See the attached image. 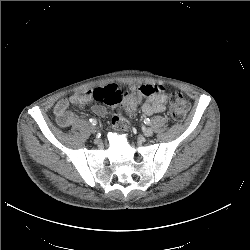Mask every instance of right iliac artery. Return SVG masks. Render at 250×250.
<instances>
[{
    "label": "right iliac artery",
    "mask_w": 250,
    "mask_h": 250,
    "mask_svg": "<svg viewBox=\"0 0 250 250\" xmlns=\"http://www.w3.org/2000/svg\"><path fill=\"white\" fill-rule=\"evenodd\" d=\"M89 122L92 124V125H96L97 124V120L96 119H89Z\"/></svg>",
    "instance_id": "right-iliac-artery-1"
}]
</instances>
